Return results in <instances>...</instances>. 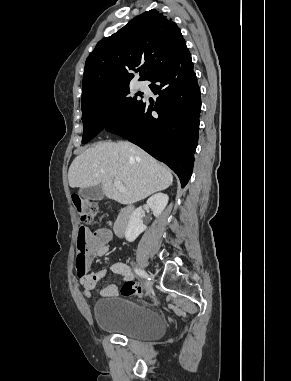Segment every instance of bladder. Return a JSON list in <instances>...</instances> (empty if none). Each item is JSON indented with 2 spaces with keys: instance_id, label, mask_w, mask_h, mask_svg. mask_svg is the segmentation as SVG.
<instances>
[{
  "instance_id": "31cf9c89",
  "label": "bladder",
  "mask_w": 291,
  "mask_h": 381,
  "mask_svg": "<svg viewBox=\"0 0 291 381\" xmlns=\"http://www.w3.org/2000/svg\"><path fill=\"white\" fill-rule=\"evenodd\" d=\"M97 326L140 341H151L160 337L166 330L162 316L148 306L125 299L100 301L94 308Z\"/></svg>"
}]
</instances>
